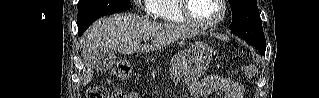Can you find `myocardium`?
<instances>
[{"instance_id": "1", "label": "myocardium", "mask_w": 319, "mask_h": 98, "mask_svg": "<svg viewBox=\"0 0 319 98\" xmlns=\"http://www.w3.org/2000/svg\"><path fill=\"white\" fill-rule=\"evenodd\" d=\"M189 1L188 0L178 1L180 13L188 24L195 27H199V28L211 29V28L217 27L219 24H221L224 21L226 17V13H227L226 1L217 0L221 7V13L217 19L211 22H204L195 18L189 11V5H188Z\"/></svg>"}]
</instances>
